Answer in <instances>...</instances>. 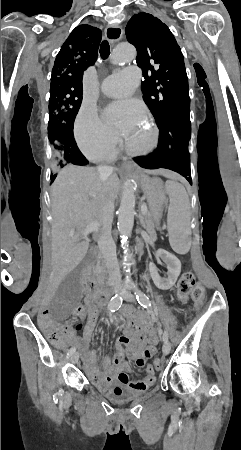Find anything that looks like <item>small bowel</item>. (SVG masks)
Instances as JSON below:
<instances>
[{"instance_id":"small-bowel-1","label":"small bowel","mask_w":241,"mask_h":450,"mask_svg":"<svg viewBox=\"0 0 241 450\" xmlns=\"http://www.w3.org/2000/svg\"><path fill=\"white\" fill-rule=\"evenodd\" d=\"M86 291V304L88 305L90 317L86 324L82 321L75 327H64L62 334L69 336L72 333L75 345L83 352L84 364L86 372L94 385L99 389H106L113 383L118 382V389H131L135 391H146L155 382V369L150 367V364L146 365L148 359L154 357L157 350V336L154 331H150L148 324H139L135 330L134 326L130 325V321L125 326V334L118 339L117 351L113 358L103 357L101 359L102 370L99 371L95 366V353L88 347L89 341L92 336V332L95 326V318L97 313L98 300L95 295L90 291L93 288L92 283L87 282L84 285ZM40 310H37V319H50L52 312L48 308V303L45 300L39 303ZM44 328L43 333L48 337L53 344H58L62 341V338L53 333V329L48 321L42 322ZM82 326H85L81 335L75 333L79 331ZM150 331V332H149ZM125 356L131 359L137 367H144L145 377L139 381H132L129 378L128 372L130 371L129 364L125 361Z\"/></svg>"}]
</instances>
